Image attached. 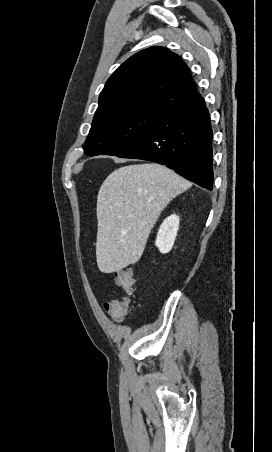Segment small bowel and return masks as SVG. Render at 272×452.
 <instances>
[{"mask_svg":"<svg viewBox=\"0 0 272 452\" xmlns=\"http://www.w3.org/2000/svg\"><path fill=\"white\" fill-rule=\"evenodd\" d=\"M107 303L104 305V309L108 312V313H110L108 310H107ZM111 315H112V317L117 321V322H122L123 320H124V318H125V316H119V315H116V314H114V313H110Z\"/></svg>","mask_w":272,"mask_h":452,"instance_id":"c3829d8e","label":"small bowel"}]
</instances>
